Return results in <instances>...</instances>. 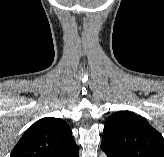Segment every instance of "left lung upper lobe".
Instances as JSON below:
<instances>
[{
	"label": "left lung upper lobe",
	"mask_w": 164,
	"mask_h": 157,
	"mask_svg": "<svg viewBox=\"0 0 164 157\" xmlns=\"http://www.w3.org/2000/svg\"><path fill=\"white\" fill-rule=\"evenodd\" d=\"M102 143L120 157H164L163 136L145 118L130 111L108 117Z\"/></svg>",
	"instance_id": "obj_1"
}]
</instances>
